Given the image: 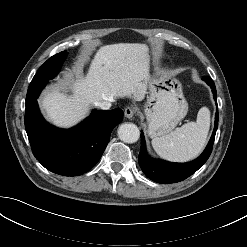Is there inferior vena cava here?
I'll return each mask as SVG.
<instances>
[{"label":"inferior vena cava","mask_w":247,"mask_h":247,"mask_svg":"<svg viewBox=\"0 0 247 247\" xmlns=\"http://www.w3.org/2000/svg\"><path fill=\"white\" fill-rule=\"evenodd\" d=\"M97 106H99L103 110H108L111 107V101H102L97 103Z\"/></svg>","instance_id":"1"}]
</instances>
